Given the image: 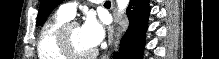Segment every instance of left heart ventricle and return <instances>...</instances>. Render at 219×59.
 <instances>
[{
    "instance_id": "1",
    "label": "left heart ventricle",
    "mask_w": 219,
    "mask_h": 59,
    "mask_svg": "<svg viewBox=\"0 0 219 59\" xmlns=\"http://www.w3.org/2000/svg\"><path fill=\"white\" fill-rule=\"evenodd\" d=\"M69 36L71 39L72 46L76 51L86 53L93 49L83 39L79 25L71 26L69 30Z\"/></svg>"
}]
</instances>
